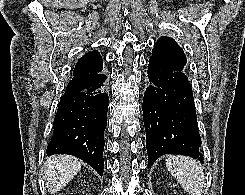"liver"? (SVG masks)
I'll use <instances>...</instances> for the list:
<instances>
[{
    "mask_svg": "<svg viewBox=\"0 0 245 195\" xmlns=\"http://www.w3.org/2000/svg\"><path fill=\"white\" fill-rule=\"evenodd\" d=\"M45 166L44 179L50 193L64 188L81 170V162L70 155L51 156L46 159Z\"/></svg>",
    "mask_w": 245,
    "mask_h": 195,
    "instance_id": "obj_1",
    "label": "liver"
}]
</instances>
